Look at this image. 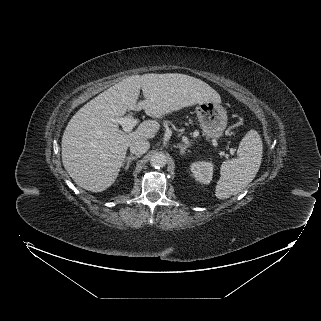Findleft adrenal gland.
I'll return each mask as SVG.
<instances>
[{
  "instance_id": "left-adrenal-gland-1",
  "label": "left adrenal gland",
  "mask_w": 321,
  "mask_h": 321,
  "mask_svg": "<svg viewBox=\"0 0 321 321\" xmlns=\"http://www.w3.org/2000/svg\"><path fill=\"white\" fill-rule=\"evenodd\" d=\"M189 146H190V144H180V143H178L175 147L179 148L180 154L183 155Z\"/></svg>"
}]
</instances>
